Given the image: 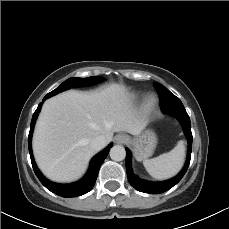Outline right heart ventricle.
Here are the masks:
<instances>
[{
    "label": "right heart ventricle",
    "instance_id": "e07e8e85",
    "mask_svg": "<svg viewBox=\"0 0 229 229\" xmlns=\"http://www.w3.org/2000/svg\"><path fill=\"white\" fill-rule=\"evenodd\" d=\"M142 95H134V96H132V98H131V102H134V101H136L138 98H140Z\"/></svg>",
    "mask_w": 229,
    "mask_h": 229
}]
</instances>
